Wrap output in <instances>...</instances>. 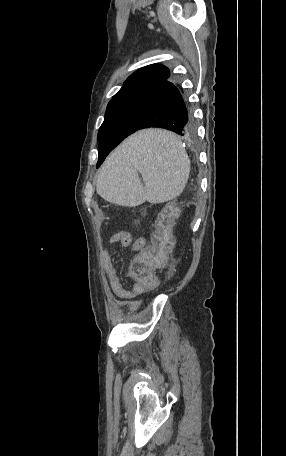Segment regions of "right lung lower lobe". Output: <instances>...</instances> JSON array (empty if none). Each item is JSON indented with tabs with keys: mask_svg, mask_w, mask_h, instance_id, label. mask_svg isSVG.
<instances>
[{
	"mask_svg": "<svg viewBox=\"0 0 286 456\" xmlns=\"http://www.w3.org/2000/svg\"><path fill=\"white\" fill-rule=\"evenodd\" d=\"M122 99L127 106L132 133L146 127H161L185 136L194 130L187 102L167 80L138 88Z\"/></svg>",
	"mask_w": 286,
	"mask_h": 456,
	"instance_id": "obj_1",
	"label": "right lung lower lobe"
}]
</instances>
